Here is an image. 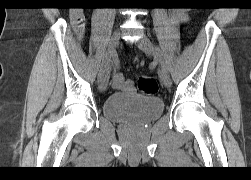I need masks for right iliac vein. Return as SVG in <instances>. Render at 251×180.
<instances>
[{
    "instance_id": "63e3f726",
    "label": "right iliac vein",
    "mask_w": 251,
    "mask_h": 180,
    "mask_svg": "<svg viewBox=\"0 0 251 180\" xmlns=\"http://www.w3.org/2000/svg\"><path fill=\"white\" fill-rule=\"evenodd\" d=\"M119 39H120V33L118 30H115L111 36L108 51H107L109 61H108L107 67L104 70L102 77L99 79L100 91H105L107 88L109 77H110L111 65L116 56V48L119 44Z\"/></svg>"
}]
</instances>
